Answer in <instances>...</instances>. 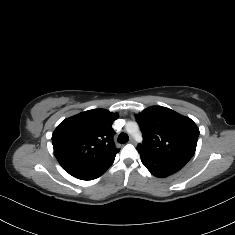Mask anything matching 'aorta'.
<instances>
[{
    "label": "aorta",
    "mask_w": 235,
    "mask_h": 235,
    "mask_svg": "<svg viewBox=\"0 0 235 235\" xmlns=\"http://www.w3.org/2000/svg\"><path fill=\"white\" fill-rule=\"evenodd\" d=\"M127 132L130 133L135 139L141 136V132L139 131V127L137 123H127Z\"/></svg>",
    "instance_id": "aorta-1"
}]
</instances>
